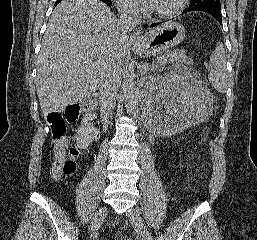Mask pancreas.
<instances>
[{"mask_svg":"<svg viewBox=\"0 0 257 240\" xmlns=\"http://www.w3.org/2000/svg\"><path fill=\"white\" fill-rule=\"evenodd\" d=\"M167 63L174 66H177L179 64L192 65L193 60L192 58L188 57L183 50H173L167 54H164L163 56L157 57V59L152 62L151 69L156 70L160 66H163Z\"/></svg>","mask_w":257,"mask_h":240,"instance_id":"cf45deb5","label":"pancreas"}]
</instances>
